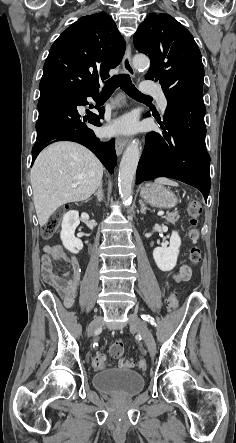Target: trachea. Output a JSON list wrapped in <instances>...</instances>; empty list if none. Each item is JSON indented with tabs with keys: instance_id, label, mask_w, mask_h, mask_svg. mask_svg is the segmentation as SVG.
<instances>
[{
	"instance_id": "obj_1",
	"label": "trachea",
	"mask_w": 236,
	"mask_h": 443,
	"mask_svg": "<svg viewBox=\"0 0 236 443\" xmlns=\"http://www.w3.org/2000/svg\"><path fill=\"white\" fill-rule=\"evenodd\" d=\"M119 86L127 95L138 101H147L152 99L150 96L144 95L137 90V88L132 84L131 78L128 74L115 75L108 80L103 87L102 95L109 97Z\"/></svg>"
}]
</instances>
